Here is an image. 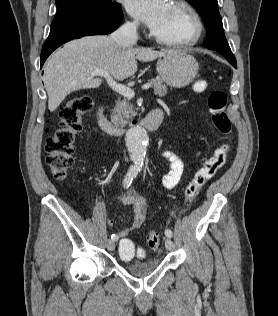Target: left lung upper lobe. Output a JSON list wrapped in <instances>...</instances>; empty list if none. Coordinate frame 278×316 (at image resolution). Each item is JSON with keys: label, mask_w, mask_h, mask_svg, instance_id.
Masks as SVG:
<instances>
[{"label": "left lung upper lobe", "mask_w": 278, "mask_h": 316, "mask_svg": "<svg viewBox=\"0 0 278 316\" xmlns=\"http://www.w3.org/2000/svg\"><path fill=\"white\" fill-rule=\"evenodd\" d=\"M201 15L206 30L207 37L205 46L215 50L225 56L230 64L237 68L236 59L231 52L229 44L223 32L222 19L218 10L217 0H186Z\"/></svg>", "instance_id": "5c2ea615"}]
</instances>
